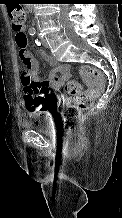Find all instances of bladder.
I'll use <instances>...</instances> for the list:
<instances>
[{
    "instance_id": "31cf9c89",
    "label": "bladder",
    "mask_w": 122,
    "mask_h": 218,
    "mask_svg": "<svg viewBox=\"0 0 122 218\" xmlns=\"http://www.w3.org/2000/svg\"><path fill=\"white\" fill-rule=\"evenodd\" d=\"M44 114L42 112H28L25 114V125L34 129L37 132L45 133L49 130V122L44 118Z\"/></svg>"
}]
</instances>
